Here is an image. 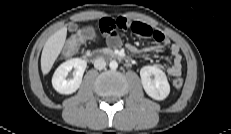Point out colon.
<instances>
[{
    "instance_id": "obj_1",
    "label": "colon",
    "mask_w": 231,
    "mask_h": 134,
    "mask_svg": "<svg viewBox=\"0 0 231 134\" xmlns=\"http://www.w3.org/2000/svg\"><path fill=\"white\" fill-rule=\"evenodd\" d=\"M93 32H94L93 29L80 31L66 44L63 54L68 57L76 53L80 44L88 37H91ZM182 85H183V79L181 77H177L173 80V86L175 88H180Z\"/></svg>"
}]
</instances>
